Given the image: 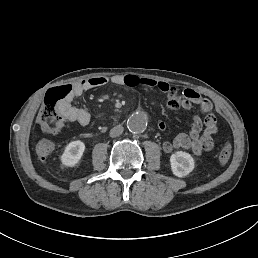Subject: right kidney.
<instances>
[{
  "mask_svg": "<svg viewBox=\"0 0 258 258\" xmlns=\"http://www.w3.org/2000/svg\"><path fill=\"white\" fill-rule=\"evenodd\" d=\"M84 150H85V145L83 142L79 140L70 142L66 146L65 151L61 156L62 164L69 167L75 166L81 159Z\"/></svg>",
  "mask_w": 258,
  "mask_h": 258,
  "instance_id": "1",
  "label": "right kidney"
}]
</instances>
